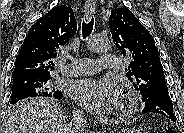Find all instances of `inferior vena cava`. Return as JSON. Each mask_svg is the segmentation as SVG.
Here are the masks:
<instances>
[{
    "mask_svg": "<svg viewBox=\"0 0 184 133\" xmlns=\"http://www.w3.org/2000/svg\"><path fill=\"white\" fill-rule=\"evenodd\" d=\"M86 127L84 114L81 111H74L72 114V123L68 127V133H82Z\"/></svg>",
    "mask_w": 184,
    "mask_h": 133,
    "instance_id": "obj_1",
    "label": "inferior vena cava"
}]
</instances>
